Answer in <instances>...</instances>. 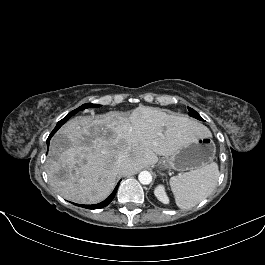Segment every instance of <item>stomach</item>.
Listing matches in <instances>:
<instances>
[{"label":"stomach","mask_w":265,"mask_h":265,"mask_svg":"<svg viewBox=\"0 0 265 265\" xmlns=\"http://www.w3.org/2000/svg\"><path fill=\"white\" fill-rule=\"evenodd\" d=\"M215 152L210 134L187 137L177 151L160 163V167L176 171L195 170L209 164Z\"/></svg>","instance_id":"1"}]
</instances>
